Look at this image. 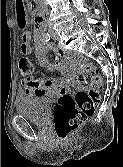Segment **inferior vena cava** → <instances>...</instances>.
Returning a JSON list of instances; mask_svg holds the SVG:
<instances>
[{
  "label": "inferior vena cava",
  "instance_id": "inferior-vena-cava-1",
  "mask_svg": "<svg viewBox=\"0 0 123 167\" xmlns=\"http://www.w3.org/2000/svg\"><path fill=\"white\" fill-rule=\"evenodd\" d=\"M39 1H40V5H41L43 11H44L46 14H48V7H47V4H46L45 0H39Z\"/></svg>",
  "mask_w": 123,
  "mask_h": 167
}]
</instances>
